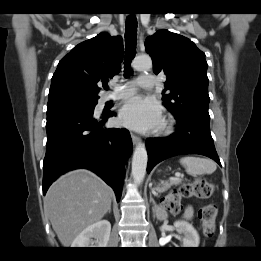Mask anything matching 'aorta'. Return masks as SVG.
Instances as JSON below:
<instances>
[{
	"label": "aorta",
	"mask_w": 261,
	"mask_h": 261,
	"mask_svg": "<svg viewBox=\"0 0 261 261\" xmlns=\"http://www.w3.org/2000/svg\"><path fill=\"white\" fill-rule=\"evenodd\" d=\"M132 66L139 71L148 70L152 67V60L146 55L138 56L133 60ZM147 160L148 156L145 144L139 143L135 148L132 158V176L136 184H141L145 178Z\"/></svg>",
	"instance_id": "1"
}]
</instances>
